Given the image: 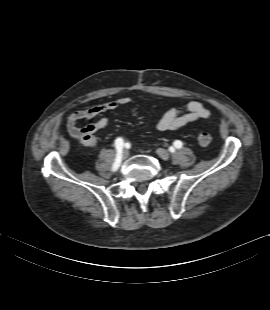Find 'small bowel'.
Masks as SVG:
<instances>
[{
  "mask_svg": "<svg viewBox=\"0 0 270 310\" xmlns=\"http://www.w3.org/2000/svg\"><path fill=\"white\" fill-rule=\"evenodd\" d=\"M131 103L129 97H121L117 100L89 106L71 113L66 119V129L69 135L83 146L93 148L97 144L95 133L106 128L109 118L103 114L114 111L120 106ZM102 115L97 121L84 127H79V121L91 120ZM210 116V110L199 101L189 102L184 110L176 107L169 108L166 113L157 120L156 128L159 131H176L189 123L206 119Z\"/></svg>",
  "mask_w": 270,
  "mask_h": 310,
  "instance_id": "small-bowel-1",
  "label": "small bowel"
}]
</instances>
